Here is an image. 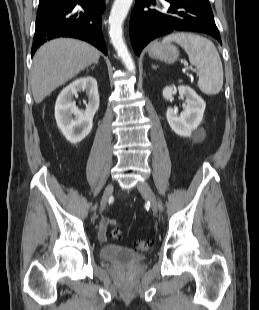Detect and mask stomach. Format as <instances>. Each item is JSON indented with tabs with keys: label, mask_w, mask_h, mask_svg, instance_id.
<instances>
[{
	"label": "stomach",
	"mask_w": 259,
	"mask_h": 310,
	"mask_svg": "<svg viewBox=\"0 0 259 310\" xmlns=\"http://www.w3.org/2000/svg\"><path fill=\"white\" fill-rule=\"evenodd\" d=\"M148 53L153 59L164 61L166 63H173L177 60L179 51L171 43L162 44L156 42L149 48Z\"/></svg>",
	"instance_id": "obj_1"
}]
</instances>
